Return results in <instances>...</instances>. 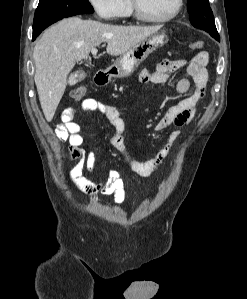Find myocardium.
<instances>
[{"label": "myocardium", "instance_id": "myocardium-1", "mask_svg": "<svg viewBox=\"0 0 247 299\" xmlns=\"http://www.w3.org/2000/svg\"><path fill=\"white\" fill-rule=\"evenodd\" d=\"M131 5L133 9V14L137 19L149 23H166L178 16L183 7V0H177L173 12L165 17H151L147 15L142 9L140 0H131Z\"/></svg>", "mask_w": 247, "mask_h": 299}]
</instances>
